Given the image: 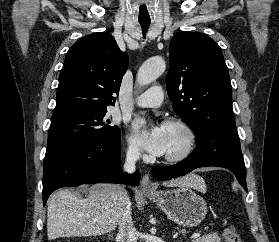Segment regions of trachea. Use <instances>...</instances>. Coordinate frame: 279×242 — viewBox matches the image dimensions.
Listing matches in <instances>:
<instances>
[{
    "instance_id": "1",
    "label": "trachea",
    "mask_w": 279,
    "mask_h": 242,
    "mask_svg": "<svg viewBox=\"0 0 279 242\" xmlns=\"http://www.w3.org/2000/svg\"><path fill=\"white\" fill-rule=\"evenodd\" d=\"M141 27H142V31L143 33L145 34L146 31L148 30L149 28V25H150V21H139Z\"/></svg>"
}]
</instances>
